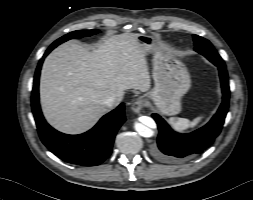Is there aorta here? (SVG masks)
Segmentation results:
<instances>
[{
	"label": "aorta",
	"mask_w": 253,
	"mask_h": 200,
	"mask_svg": "<svg viewBox=\"0 0 253 200\" xmlns=\"http://www.w3.org/2000/svg\"><path fill=\"white\" fill-rule=\"evenodd\" d=\"M149 121L150 123L154 124V121L152 119L149 118ZM135 130L137 131L139 135L143 137H151L153 135L152 129L142 123H136Z\"/></svg>",
	"instance_id": "aorta-1"
}]
</instances>
